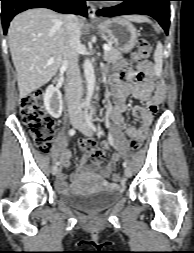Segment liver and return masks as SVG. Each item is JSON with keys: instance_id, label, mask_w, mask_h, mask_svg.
I'll return each mask as SVG.
<instances>
[{"instance_id": "obj_1", "label": "liver", "mask_w": 194, "mask_h": 253, "mask_svg": "<svg viewBox=\"0 0 194 253\" xmlns=\"http://www.w3.org/2000/svg\"><path fill=\"white\" fill-rule=\"evenodd\" d=\"M65 15L46 8L30 9L18 14L8 29V43L17 72L20 99L37 90L57 73L67 47ZM133 22H149L142 15H128ZM80 34L84 20L78 18ZM54 58L51 64H47Z\"/></svg>"}]
</instances>
